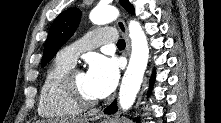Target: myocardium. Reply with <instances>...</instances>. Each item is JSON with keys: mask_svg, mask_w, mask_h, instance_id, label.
<instances>
[{"mask_svg": "<svg viewBox=\"0 0 221 123\" xmlns=\"http://www.w3.org/2000/svg\"><path fill=\"white\" fill-rule=\"evenodd\" d=\"M81 72L79 69L71 68L63 77L62 86L68 96V98L73 101L82 109H89L96 106L99 102L98 99H89L84 96L75 82V76L77 73Z\"/></svg>", "mask_w": 221, "mask_h": 123, "instance_id": "f54148a6", "label": "myocardium"}]
</instances>
